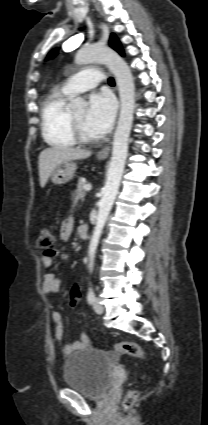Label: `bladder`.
Here are the masks:
<instances>
[{"instance_id":"bladder-1","label":"bladder","mask_w":208,"mask_h":425,"mask_svg":"<svg viewBox=\"0 0 208 425\" xmlns=\"http://www.w3.org/2000/svg\"><path fill=\"white\" fill-rule=\"evenodd\" d=\"M114 355L106 350L86 347L73 352L66 360L65 385L85 397L102 398L112 385Z\"/></svg>"}]
</instances>
